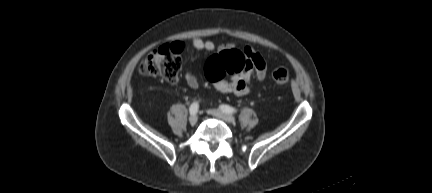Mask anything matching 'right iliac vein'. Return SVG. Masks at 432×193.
<instances>
[{
	"label": "right iliac vein",
	"instance_id": "63e3f726",
	"mask_svg": "<svg viewBox=\"0 0 432 193\" xmlns=\"http://www.w3.org/2000/svg\"><path fill=\"white\" fill-rule=\"evenodd\" d=\"M197 121H198V116L196 114H193L189 117L190 124L194 125L197 123Z\"/></svg>",
	"mask_w": 432,
	"mask_h": 193
}]
</instances>
